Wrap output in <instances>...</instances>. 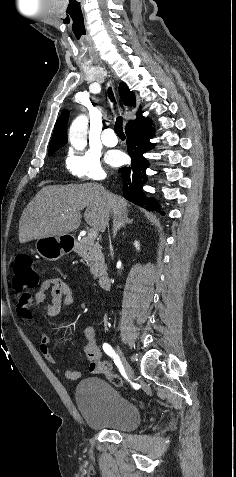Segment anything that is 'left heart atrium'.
I'll use <instances>...</instances> for the list:
<instances>
[{"instance_id": "1", "label": "left heart atrium", "mask_w": 236, "mask_h": 477, "mask_svg": "<svg viewBox=\"0 0 236 477\" xmlns=\"http://www.w3.org/2000/svg\"><path fill=\"white\" fill-rule=\"evenodd\" d=\"M107 158H108V162L113 166H119L125 162V156L120 151L110 152Z\"/></svg>"}]
</instances>
